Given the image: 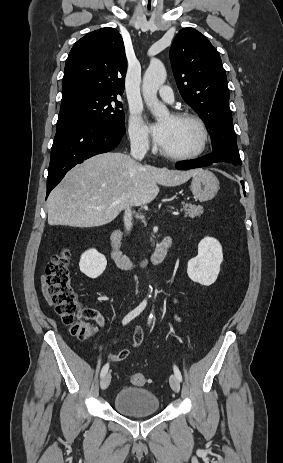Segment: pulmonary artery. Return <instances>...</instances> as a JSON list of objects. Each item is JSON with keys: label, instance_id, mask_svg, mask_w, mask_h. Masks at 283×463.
I'll use <instances>...</instances> for the list:
<instances>
[{"label": "pulmonary artery", "instance_id": "pulmonary-artery-1", "mask_svg": "<svg viewBox=\"0 0 283 463\" xmlns=\"http://www.w3.org/2000/svg\"><path fill=\"white\" fill-rule=\"evenodd\" d=\"M159 95L164 101L168 103H171L174 100L173 91L169 86H162L159 90Z\"/></svg>", "mask_w": 283, "mask_h": 463}]
</instances>
